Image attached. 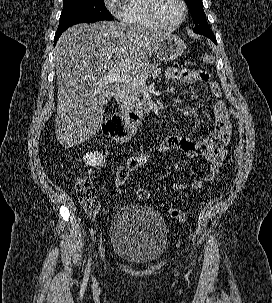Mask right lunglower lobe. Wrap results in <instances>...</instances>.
I'll return each mask as SVG.
<instances>
[{"instance_id": "1", "label": "right lung lower lobe", "mask_w": 272, "mask_h": 303, "mask_svg": "<svg viewBox=\"0 0 272 303\" xmlns=\"http://www.w3.org/2000/svg\"><path fill=\"white\" fill-rule=\"evenodd\" d=\"M62 33H63V32H59V33H56V34H55L54 46L56 45V42H57L58 38L60 37V35H61Z\"/></svg>"}]
</instances>
